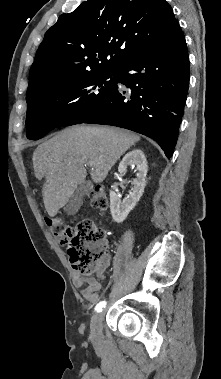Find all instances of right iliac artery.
Wrapping results in <instances>:
<instances>
[{
	"label": "right iliac artery",
	"mask_w": 221,
	"mask_h": 379,
	"mask_svg": "<svg viewBox=\"0 0 221 379\" xmlns=\"http://www.w3.org/2000/svg\"><path fill=\"white\" fill-rule=\"evenodd\" d=\"M106 303H107L106 301H101V302H99V303L96 305V307H95V311H96V312H100V311H102V309L105 308Z\"/></svg>",
	"instance_id": "1"
}]
</instances>
